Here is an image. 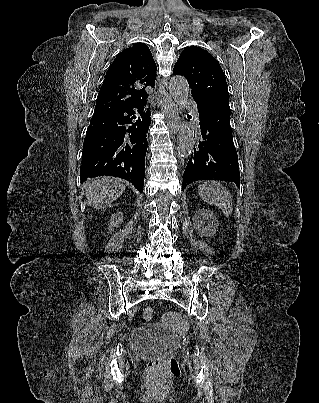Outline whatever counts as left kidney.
Returning a JSON list of instances; mask_svg holds the SVG:
<instances>
[{
	"mask_svg": "<svg viewBox=\"0 0 319 403\" xmlns=\"http://www.w3.org/2000/svg\"><path fill=\"white\" fill-rule=\"evenodd\" d=\"M198 217L201 218L204 222L209 219H211L213 222H216V217L209 210L203 209V210L198 211Z\"/></svg>",
	"mask_w": 319,
	"mask_h": 403,
	"instance_id": "left-kidney-1",
	"label": "left kidney"
}]
</instances>
